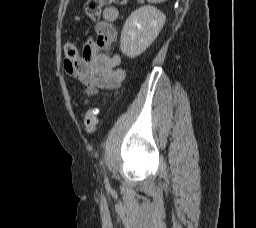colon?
Instances as JSON below:
<instances>
[{
	"label": "colon",
	"instance_id": "5ec220e1",
	"mask_svg": "<svg viewBox=\"0 0 256 228\" xmlns=\"http://www.w3.org/2000/svg\"><path fill=\"white\" fill-rule=\"evenodd\" d=\"M117 3L125 5L127 0H88L85 6L87 16L92 20L96 21L101 13V9L109 4ZM64 52L66 59L69 62L76 60L79 53L74 44L67 42L64 46ZM98 124V108L93 107L88 109L85 114L84 125L87 133H94Z\"/></svg>",
	"mask_w": 256,
	"mask_h": 228
}]
</instances>
